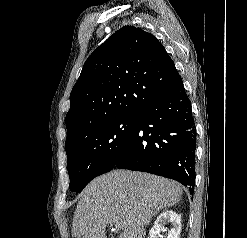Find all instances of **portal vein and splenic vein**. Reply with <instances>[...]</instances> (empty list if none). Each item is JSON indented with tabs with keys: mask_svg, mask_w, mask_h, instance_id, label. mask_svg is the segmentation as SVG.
Returning a JSON list of instances; mask_svg holds the SVG:
<instances>
[{
	"mask_svg": "<svg viewBox=\"0 0 247 238\" xmlns=\"http://www.w3.org/2000/svg\"><path fill=\"white\" fill-rule=\"evenodd\" d=\"M122 225L120 223H115V229H121Z\"/></svg>",
	"mask_w": 247,
	"mask_h": 238,
	"instance_id": "obj_1",
	"label": "portal vein and splenic vein"
}]
</instances>
